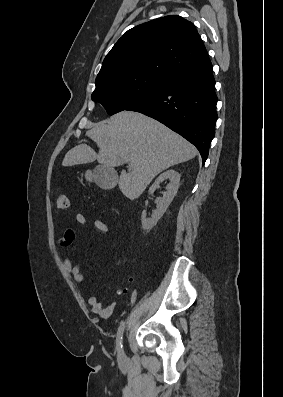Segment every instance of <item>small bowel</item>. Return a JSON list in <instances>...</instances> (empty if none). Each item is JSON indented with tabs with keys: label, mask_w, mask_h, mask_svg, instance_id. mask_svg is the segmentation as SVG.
<instances>
[{
	"label": "small bowel",
	"mask_w": 283,
	"mask_h": 397,
	"mask_svg": "<svg viewBox=\"0 0 283 397\" xmlns=\"http://www.w3.org/2000/svg\"><path fill=\"white\" fill-rule=\"evenodd\" d=\"M75 219L80 226H84L87 223V218L82 213H78ZM94 227L101 233L108 232L107 224L101 219L94 220ZM75 237L76 235L74 229L68 227L65 229L63 235L60 237L59 243L62 247H69L70 245L73 244ZM64 268L66 269L67 272H69L72 275L75 282L77 283L84 282L85 278L81 271L80 266L78 264H75L70 256L65 257ZM131 281L132 280L130 279L129 282ZM126 293H127V289L119 290V294H126ZM87 303L91 307L92 312L98 317L103 319L110 318L113 315L116 308L115 303H110L105 306L95 295H89L87 297Z\"/></svg>",
	"instance_id": "c3829d8e"
}]
</instances>
